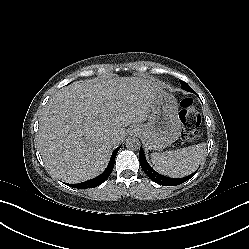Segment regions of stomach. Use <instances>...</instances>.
Wrapping results in <instances>:
<instances>
[{
    "mask_svg": "<svg viewBox=\"0 0 249 249\" xmlns=\"http://www.w3.org/2000/svg\"><path fill=\"white\" fill-rule=\"evenodd\" d=\"M151 118L141 129L142 139L148 149L162 150L175 142L181 125L176 113L175 98L159 89L151 97Z\"/></svg>",
    "mask_w": 249,
    "mask_h": 249,
    "instance_id": "0dacf381",
    "label": "stomach"
}]
</instances>
